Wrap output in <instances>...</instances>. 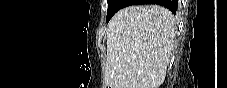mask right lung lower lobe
<instances>
[{
    "label": "right lung lower lobe",
    "instance_id": "obj_1",
    "mask_svg": "<svg viewBox=\"0 0 227 88\" xmlns=\"http://www.w3.org/2000/svg\"><path fill=\"white\" fill-rule=\"evenodd\" d=\"M137 4H159L168 8L173 14L178 8V0H129L126 6Z\"/></svg>",
    "mask_w": 227,
    "mask_h": 88
}]
</instances>
